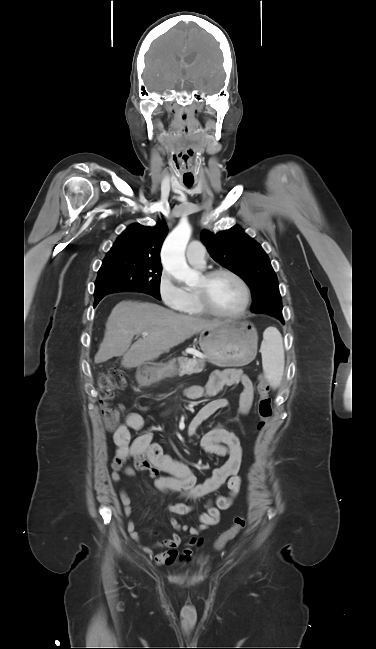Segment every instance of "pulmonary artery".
<instances>
[{"label": "pulmonary artery", "mask_w": 376, "mask_h": 649, "mask_svg": "<svg viewBox=\"0 0 376 649\" xmlns=\"http://www.w3.org/2000/svg\"><path fill=\"white\" fill-rule=\"evenodd\" d=\"M186 257L190 264L197 267L205 265V247L199 241H192L187 248Z\"/></svg>", "instance_id": "pulmonary-artery-1"}]
</instances>
